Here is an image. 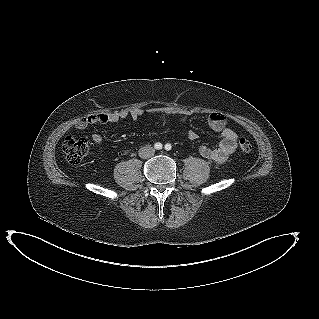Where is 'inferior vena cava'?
<instances>
[{
	"instance_id": "inferior-vena-cava-1",
	"label": "inferior vena cava",
	"mask_w": 319,
	"mask_h": 319,
	"mask_svg": "<svg viewBox=\"0 0 319 319\" xmlns=\"http://www.w3.org/2000/svg\"><path fill=\"white\" fill-rule=\"evenodd\" d=\"M155 153V149L153 147L144 146L139 150V156L143 159L150 158Z\"/></svg>"
}]
</instances>
